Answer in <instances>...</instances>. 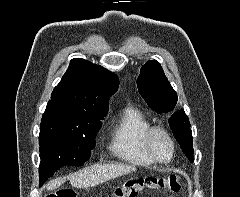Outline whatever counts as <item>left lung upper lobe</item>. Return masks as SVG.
Here are the masks:
<instances>
[{
	"instance_id": "1",
	"label": "left lung upper lobe",
	"mask_w": 240,
	"mask_h": 197,
	"mask_svg": "<svg viewBox=\"0 0 240 197\" xmlns=\"http://www.w3.org/2000/svg\"><path fill=\"white\" fill-rule=\"evenodd\" d=\"M137 87L147 105L157 113L170 112L177 104V93L170 85L161 65L156 60H150L141 67V73L137 79ZM169 125L182 151L192 162V131L184 110L176 111L170 117Z\"/></svg>"
}]
</instances>
